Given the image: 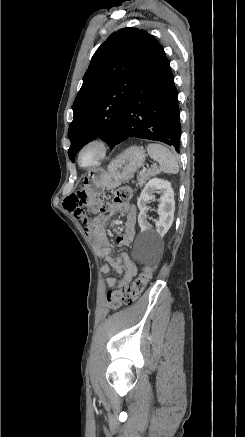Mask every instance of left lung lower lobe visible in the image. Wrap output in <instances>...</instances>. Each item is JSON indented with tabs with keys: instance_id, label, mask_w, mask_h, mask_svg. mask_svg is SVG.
Listing matches in <instances>:
<instances>
[{
	"instance_id": "left-lung-lower-lobe-1",
	"label": "left lung lower lobe",
	"mask_w": 245,
	"mask_h": 437,
	"mask_svg": "<svg viewBox=\"0 0 245 437\" xmlns=\"http://www.w3.org/2000/svg\"><path fill=\"white\" fill-rule=\"evenodd\" d=\"M177 95L169 60L159 45L126 103L113 147L136 137L161 141L179 152L181 125Z\"/></svg>"
}]
</instances>
